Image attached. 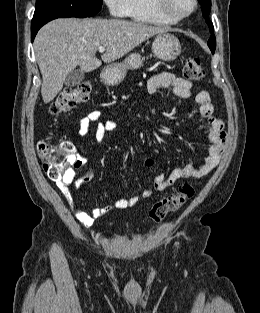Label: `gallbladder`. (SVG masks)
<instances>
[{
	"label": "gallbladder",
	"instance_id": "obj_1",
	"mask_svg": "<svg viewBox=\"0 0 260 313\" xmlns=\"http://www.w3.org/2000/svg\"><path fill=\"white\" fill-rule=\"evenodd\" d=\"M84 72L80 69H74L73 71L69 72L65 78L64 84L67 87H74L79 85L82 80L84 79Z\"/></svg>",
	"mask_w": 260,
	"mask_h": 313
}]
</instances>
